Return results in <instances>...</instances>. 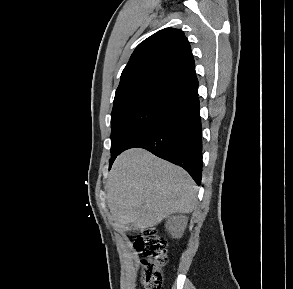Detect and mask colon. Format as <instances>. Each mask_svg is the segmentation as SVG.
<instances>
[{"instance_id":"colon-1","label":"colon","mask_w":293,"mask_h":289,"mask_svg":"<svg viewBox=\"0 0 293 289\" xmlns=\"http://www.w3.org/2000/svg\"><path fill=\"white\" fill-rule=\"evenodd\" d=\"M136 248L142 253V284L144 289H161L164 268L168 263L166 241L151 229H145L135 240Z\"/></svg>"}]
</instances>
